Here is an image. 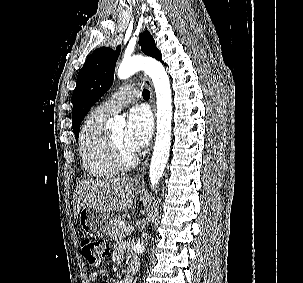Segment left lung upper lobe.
<instances>
[{
    "label": "left lung upper lobe",
    "mask_w": 303,
    "mask_h": 283,
    "mask_svg": "<svg viewBox=\"0 0 303 283\" xmlns=\"http://www.w3.org/2000/svg\"><path fill=\"white\" fill-rule=\"evenodd\" d=\"M139 45L142 52L162 62L161 53L147 30L140 34ZM120 51L121 46H117L116 51L100 47L87 58L79 71L72 99V128L76 139L79 136L80 124L90 108L111 87Z\"/></svg>",
    "instance_id": "5c2ea615"
}]
</instances>
